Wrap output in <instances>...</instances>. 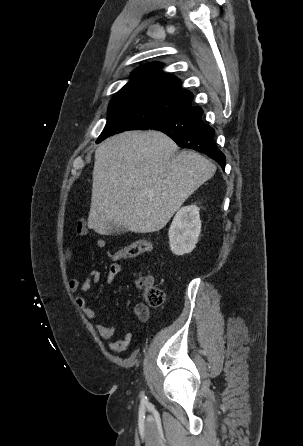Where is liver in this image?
<instances>
[{"mask_svg": "<svg viewBox=\"0 0 303 446\" xmlns=\"http://www.w3.org/2000/svg\"><path fill=\"white\" fill-rule=\"evenodd\" d=\"M158 131H126L95 151L88 227L109 234L162 229L184 201L216 171L194 151H181Z\"/></svg>", "mask_w": 303, "mask_h": 446, "instance_id": "1", "label": "liver"}]
</instances>
